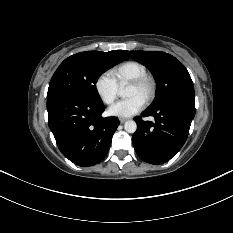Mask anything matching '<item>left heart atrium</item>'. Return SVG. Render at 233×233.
I'll list each match as a JSON object with an SVG mask.
<instances>
[{
    "label": "left heart atrium",
    "instance_id": "39dd6f15",
    "mask_svg": "<svg viewBox=\"0 0 233 233\" xmlns=\"http://www.w3.org/2000/svg\"><path fill=\"white\" fill-rule=\"evenodd\" d=\"M145 101L138 95H133L116 102L108 109V114L119 118H128L143 109Z\"/></svg>",
    "mask_w": 233,
    "mask_h": 233
}]
</instances>
